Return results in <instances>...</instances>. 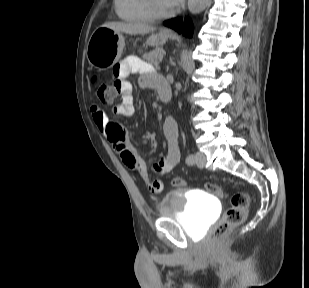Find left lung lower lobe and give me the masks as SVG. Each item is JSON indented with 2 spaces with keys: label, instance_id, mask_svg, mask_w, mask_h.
I'll use <instances>...</instances> for the list:
<instances>
[{
  "label": "left lung lower lobe",
  "instance_id": "1",
  "mask_svg": "<svg viewBox=\"0 0 309 288\" xmlns=\"http://www.w3.org/2000/svg\"><path fill=\"white\" fill-rule=\"evenodd\" d=\"M164 25L174 28L178 32H182L185 36H191L192 28L190 26L189 21H185L184 25H182V20H169L164 22Z\"/></svg>",
  "mask_w": 309,
  "mask_h": 288
}]
</instances>
